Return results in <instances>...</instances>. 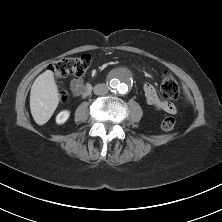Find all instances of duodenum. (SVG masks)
<instances>
[{
	"label": "duodenum",
	"mask_w": 222,
	"mask_h": 222,
	"mask_svg": "<svg viewBox=\"0 0 222 222\" xmlns=\"http://www.w3.org/2000/svg\"><path fill=\"white\" fill-rule=\"evenodd\" d=\"M92 90V86L87 84L82 88V96L85 97L87 96Z\"/></svg>",
	"instance_id": "obj_1"
}]
</instances>
